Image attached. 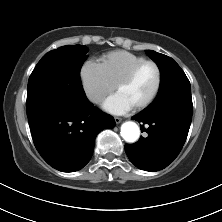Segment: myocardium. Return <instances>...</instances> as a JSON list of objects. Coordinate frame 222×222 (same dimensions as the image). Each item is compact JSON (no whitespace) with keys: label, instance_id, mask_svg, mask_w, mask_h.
Returning <instances> with one entry per match:
<instances>
[{"label":"myocardium","instance_id":"f54148a6","mask_svg":"<svg viewBox=\"0 0 222 222\" xmlns=\"http://www.w3.org/2000/svg\"><path fill=\"white\" fill-rule=\"evenodd\" d=\"M152 65L157 72V82H156V86L152 92V94L149 96V98L147 100H145L144 102H142L141 104L137 105L134 107L135 111H141L146 109L147 107H149L157 98L160 89H161V85H162V71L159 67V65L153 61V60H144L141 61L139 63H137L136 65H134L116 84H115V90H117L118 88L128 84L129 82H131V80L135 77V75L137 74V72L145 65Z\"/></svg>","mask_w":222,"mask_h":222}]
</instances>
